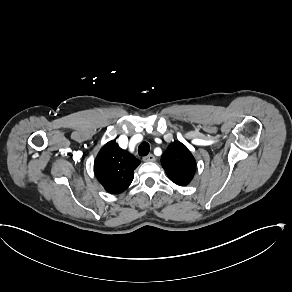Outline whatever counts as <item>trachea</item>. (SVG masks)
<instances>
[{
    "mask_svg": "<svg viewBox=\"0 0 292 292\" xmlns=\"http://www.w3.org/2000/svg\"><path fill=\"white\" fill-rule=\"evenodd\" d=\"M149 151H150V145L146 141H143L138 147V154L140 156L148 155Z\"/></svg>",
    "mask_w": 292,
    "mask_h": 292,
    "instance_id": "obj_1",
    "label": "trachea"
}]
</instances>
